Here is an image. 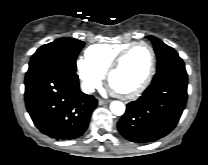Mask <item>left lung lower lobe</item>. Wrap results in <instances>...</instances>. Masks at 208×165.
<instances>
[{"label": "left lung lower lobe", "instance_id": "left-lung-lower-lobe-1", "mask_svg": "<svg viewBox=\"0 0 208 165\" xmlns=\"http://www.w3.org/2000/svg\"><path fill=\"white\" fill-rule=\"evenodd\" d=\"M187 84L182 60L157 69L143 95L127 104L117 125L119 132L136 143L152 142L166 136L176 127L185 108Z\"/></svg>", "mask_w": 208, "mask_h": 165}]
</instances>
